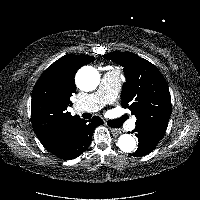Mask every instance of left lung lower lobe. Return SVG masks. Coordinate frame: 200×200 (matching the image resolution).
I'll use <instances>...</instances> for the list:
<instances>
[{
  "label": "left lung lower lobe",
  "instance_id": "1",
  "mask_svg": "<svg viewBox=\"0 0 200 200\" xmlns=\"http://www.w3.org/2000/svg\"><path fill=\"white\" fill-rule=\"evenodd\" d=\"M133 132L138 138V148L132 153V156H143L149 154L155 147L162 137L158 136L154 132L144 128L136 127Z\"/></svg>",
  "mask_w": 200,
  "mask_h": 200
}]
</instances>
